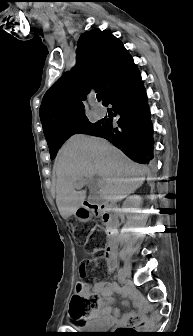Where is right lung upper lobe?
<instances>
[{"mask_svg": "<svg viewBox=\"0 0 193 336\" xmlns=\"http://www.w3.org/2000/svg\"><path fill=\"white\" fill-rule=\"evenodd\" d=\"M76 61L73 70L59 78L43 97L40 119L47 141L85 117L81 100L90 92L101 93L104 101L133 59L118 38L96 28L80 36Z\"/></svg>", "mask_w": 193, "mask_h": 336, "instance_id": "1", "label": "right lung upper lobe"}]
</instances>
